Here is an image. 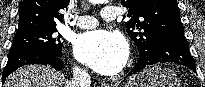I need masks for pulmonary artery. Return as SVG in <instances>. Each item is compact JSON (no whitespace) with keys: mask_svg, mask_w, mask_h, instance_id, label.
Here are the masks:
<instances>
[{"mask_svg":"<svg viewBox=\"0 0 205 87\" xmlns=\"http://www.w3.org/2000/svg\"><path fill=\"white\" fill-rule=\"evenodd\" d=\"M118 14H119L118 10L115 7H111V6L104 7L101 11V16L103 20L106 21L116 20ZM97 25H98V20L95 17L89 15L79 16L76 20V26L79 28L88 29V28L96 27Z\"/></svg>","mask_w":205,"mask_h":87,"instance_id":"1","label":"pulmonary artery"}]
</instances>
